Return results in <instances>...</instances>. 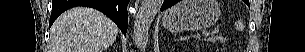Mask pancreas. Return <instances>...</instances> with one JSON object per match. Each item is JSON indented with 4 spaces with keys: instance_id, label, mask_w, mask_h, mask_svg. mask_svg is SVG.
I'll return each mask as SVG.
<instances>
[{
    "instance_id": "cf45deb5",
    "label": "pancreas",
    "mask_w": 305,
    "mask_h": 52,
    "mask_svg": "<svg viewBox=\"0 0 305 52\" xmlns=\"http://www.w3.org/2000/svg\"><path fill=\"white\" fill-rule=\"evenodd\" d=\"M207 40L210 41V42H213V43H215L217 41L220 42V43L224 42V38L220 37V36H211Z\"/></svg>"
}]
</instances>
